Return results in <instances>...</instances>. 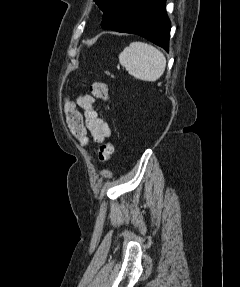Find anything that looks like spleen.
Segmentation results:
<instances>
[{
    "label": "spleen",
    "mask_w": 240,
    "mask_h": 287,
    "mask_svg": "<svg viewBox=\"0 0 240 287\" xmlns=\"http://www.w3.org/2000/svg\"><path fill=\"white\" fill-rule=\"evenodd\" d=\"M119 62L136 79L153 82L164 73L166 58L154 46L141 41L130 43L119 54Z\"/></svg>",
    "instance_id": "3e777b00"
}]
</instances>
